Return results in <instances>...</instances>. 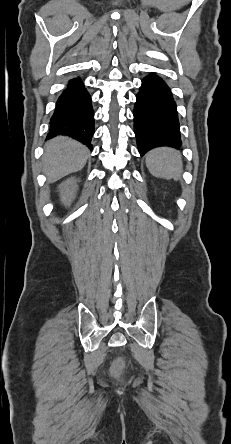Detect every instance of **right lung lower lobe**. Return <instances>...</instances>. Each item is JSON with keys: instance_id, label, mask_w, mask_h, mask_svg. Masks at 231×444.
I'll use <instances>...</instances> for the list:
<instances>
[{"instance_id": "1", "label": "right lung lower lobe", "mask_w": 231, "mask_h": 444, "mask_svg": "<svg viewBox=\"0 0 231 444\" xmlns=\"http://www.w3.org/2000/svg\"><path fill=\"white\" fill-rule=\"evenodd\" d=\"M93 116L89 93L81 79H72L56 103L47 138L66 135L92 149Z\"/></svg>"}]
</instances>
